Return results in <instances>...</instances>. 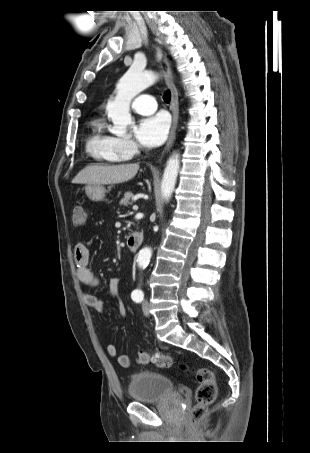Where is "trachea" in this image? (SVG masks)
I'll return each mask as SVG.
<instances>
[{
    "label": "trachea",
    "mask_w": 310,
    "mask_h": 453,
    "mask_svg": "<svg viewBox=\"0 0 310 453\" xmlns=\"http://www.w3.org/2000/svg\"><path fill=\"white\" fill-rule=\"evenodd\" d=\"M163 99L166 103H169L170 100H171V92L169 90H167L165 93H164V96H163Z\"/></svg>",
    "instance_id": "3493384b"
}]
</instances>
